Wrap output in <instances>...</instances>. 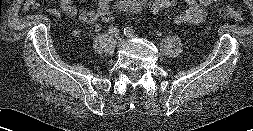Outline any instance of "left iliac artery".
Instances as JSON below:
<instances>
[{"label": "left iliac artery", "mask_w": 253, "mask_h": 131, "mask_svg": "<svg viewBox=\"0 0 253 131\" xmlns=\"http://www.w3.org/2000/svg\"><path fill=\"white\" fill-rule=\"evenodd\" d=\"M124 34H125L126 36L133 35V34H134L133 28H131V27H126V28L124 29Z\"/></svg>", "instance_id": "left-iliac-artery-1"}]
</instances>
